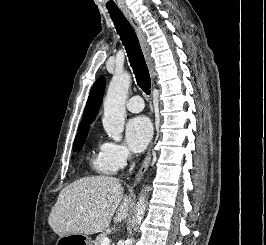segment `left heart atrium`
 I'll return each instance as SVG.
<instances>
[{
    "label": "left heart atrium",
    "instance_id": "obj_1",
    "mask_svg": "<svg viewBox=\"0 0 266 245\" xmlns=\"http://www.w3.org/2000/svg\"><path fill=\"white\" fill-rule=\"evenodd\" d=\"M152 136V127L146 117H135L125 127V139L133 152H141Z\"/></svg>",
    "mask_w": 266,
    "mask_h": 245
}]
</instances>
